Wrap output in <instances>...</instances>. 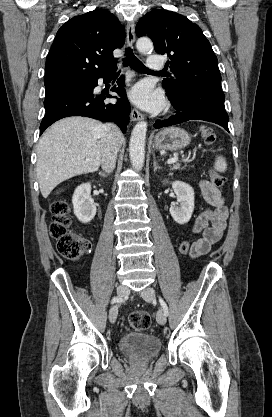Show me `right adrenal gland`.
<instances>
[{
	"label": "right adrenal gland",
	"instance_id": "2a0ac1e0",
	"mask_svg": "<svg viewBox=\"0 0 272 417\" xmlns=\"http://www.w3.org/2000/svg\"><path fill=\"white\" fill-rule=\"evenodd\" d=\"M99 175H100L101 177H106V176H108L109 174H108V173L106 174V173H104V172H101V171H100V172H99Z\"/></svg>",
	"mask_w": 272,
	"mask_h": 417
}]
</instances>
